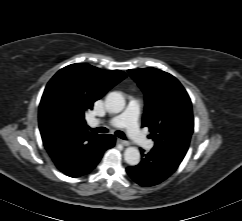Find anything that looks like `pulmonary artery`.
I'll return each instance as SVG.
<instances>
[{
  "label": "pulmonary artery",
  "instance_id": "1",
  "mask_svg": "<svg viewBox=\"0 0 242 221\" xmlns=\"http://www.w3.org/2000/svg\"><path fill=\"white\" fill-rule=\"evenodd\" d=\"M140 109L141 104L138 100H130L124 112L104 122L115 128L125 127L134 142L143 148H151L152 142L144 136L138 125Z\"/></svg>",
  "mask_w": 242,
  "mask_h": 221
}]
</instances>
